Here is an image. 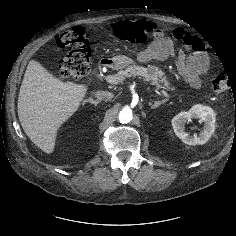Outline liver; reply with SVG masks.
Masks as SVG:
<instances>
[{"label":"liver","instance_id":"6515ba94","mask_svg":"<svg viewBox=\"0 0 236 236\" xmlns=\"http://www.w3.org/2000/svg\"><path fill=\"white\" fill-rule=\"evenodd\" d=\"M87 90V85L63 82L31 60L17 105L21 126L30 140L45 153H53L58 130L78 110Z\"/></svg>","mask_w":236,"mask_h":236}]
</instances>
